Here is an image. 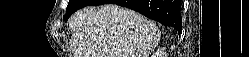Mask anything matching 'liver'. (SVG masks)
<instances>
[{"mask_svg": "<svg viewBox=\"0 0 249 57\" xmlns=\"http://www.w3.org/2000/svg\"><path fill=\"white\" fill-rule=\"evenodd\" d=\"M70 25L74 57H149L161 35L155 23L115 4L85 7Z\"/></svg>", "mask_w": 249, "mask_h": 57, "instance_id": "obj_1", "label": "liver"}]
</instances>
